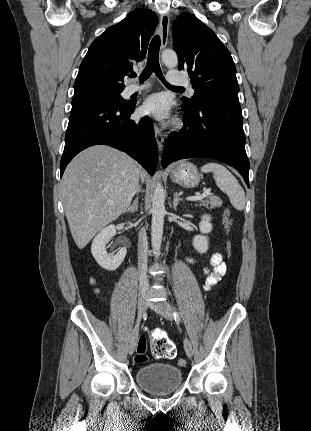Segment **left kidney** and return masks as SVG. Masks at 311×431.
<instances>
[{
  "label": "left kidney",
  "mask_w": 311,
  "mask_h": 431,
  "mask_svg": "<svg viewBox=\"0 0 311 431\" xmlns=\"http://www.w3.org/2000/svg\"><path fill=\"white\" fill-rule=\"evenodd\" d=\"M211 217L208 214L201 216V221L199 223L201 233H210L212 231V223H210ZM208 235H195L193 239V245L197 251L200 253H205L208 249Z\"/></svg>",
  "instance_id": "5707ae66"
}]
</instances>
